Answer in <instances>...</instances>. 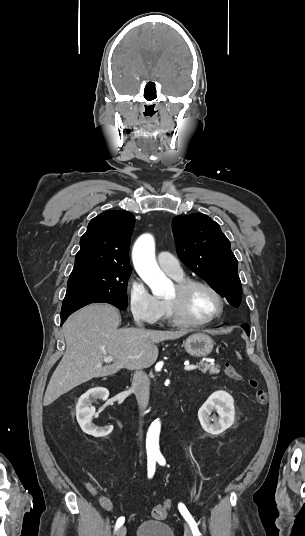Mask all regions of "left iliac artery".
Returning a JSON list of instances; mask_svg holds the SVG:
<instances>
[{"label":"left iliac artery","instance_id":"obj_1","mask_svg":"<svg viewBox=\"0 0 305 536\" xmlns=\"http://www.w3.org/2000/svg\"><path fill=\"white\" fill-rule=\"evenodd\" d=\"M157 461L160 465H165L166 463L163 456H158ZM179 511L182 514V516L185 518V520L188 522L192 530L193 536H201V533L199 532L198 527H197V523L195 522V520L193 519V517L191 516V514L189 513V511L187 510L184 504L182 503L179 504Z\"/></svg>","mask_w":305,"mask_h":536}]
</instances>
